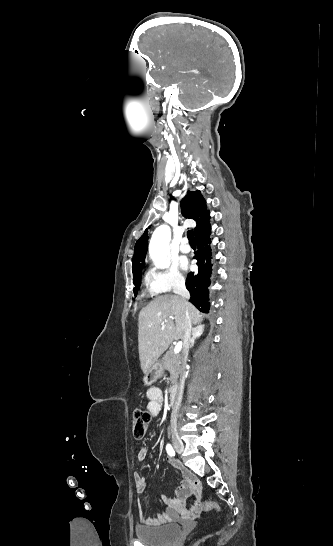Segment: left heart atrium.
Segmentation results:
<instances>
[{
    "label": "left heart atrium",
    "mask_w": 333,
    "mask_h": 546,
    "mask_svg": "<svg viewBox=\"0 0 333 546\" xmlns=\"http://www.w3.org/2000/svg\"><path fill=\"white\" fill-rule=\"evenodd\" d=\"M182 267H183V268H187V263L183 261V262H182Z\"/></svg>",
    "instance_id": "1"
}]
</instances>
